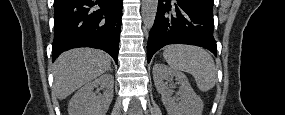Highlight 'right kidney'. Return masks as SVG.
Wrapping results in <instances>:
<instances>
[{"instance_id": "obj_1", "label": "right kidney", "mask_w": 285, "mask_h": 115, "mask_svg": "<svg viewBox=\"0 0 285 115\" xmlns=\"http://www.w3.org/2000/svg\"><path fill=\"white\" fill-rule=\"evenodd\" d=\"M101 87L103 94L96 96L94 89ZM114 77L103 74L87 83L71 98L68 105L69 115H105L113 99Z\"/></svg>"}]
</instances>
